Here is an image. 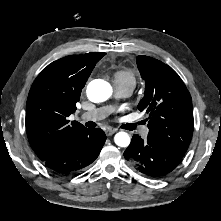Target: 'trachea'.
<instances>
[{
    "mask_svg": "<svg viewBox=\"0 0 221 221\" xmlns=\"http://www.w3.org/2000/svg\"><path fill=\"white\" fill-rule=\"evenodd\" d=\"M136 124H137V123L128 124V125H127V129H128V130H134V129L136 128ZM86 125H87L88 127H91V126H90V122H88Z\"/></svg>",
    "mask_w": 221,
    "mask_h": 221,
    "instance_id": "obj_1",
    "label": "trachea"
}]
</instances>
